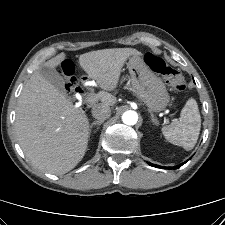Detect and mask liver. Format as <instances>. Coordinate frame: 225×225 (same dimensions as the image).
<instances>
[{"label": "liver", "mask_w": 225, "mask_h": 225, "mask_svg": "<svg viewBox=\"0 0 225 225\" xmlns=\"http://www.w3.org/2000/svg\"><path fill=\"white\" fill-rule=\"evenodd\" d=\"M133 55V48L102 49L84 53L79 64L105 91L114 90L122 67ZM65 59L60 54L44 65L55 68ZM96 95L100 104L112 106L116 98L108 92ZM18 142L28 160L38 169L52 174H65L84 157L89 138V120L85 111L72 101L39 71L32 74L18 100L15 120Z\"/></svg>", "instance_id": "1"}]
</instances>
